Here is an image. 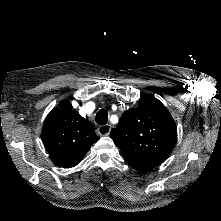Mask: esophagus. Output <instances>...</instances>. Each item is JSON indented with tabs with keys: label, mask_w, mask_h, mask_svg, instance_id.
Here are the masks:
<instances>
[{
	"label": "esophagus",
	"mask_w": 221,
	"mask_h": 221,
	"mask_svg": "<svg viewBox=\"0 0 221 221\" xmlns=\"http://www.w3.org/2000/svg\"><path fill=\"white\" fill-rule=\"evenodd\" d=\"M110 131H111L110 124L99 126L97 129V132L100 136H108L110 134Z\"/></svg>",
	"instance_id": "esophagus-1"
}]
</instances>
